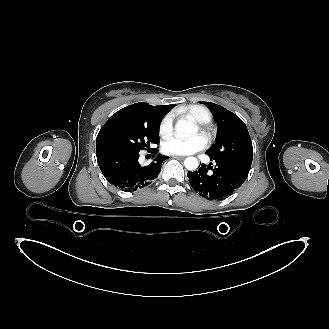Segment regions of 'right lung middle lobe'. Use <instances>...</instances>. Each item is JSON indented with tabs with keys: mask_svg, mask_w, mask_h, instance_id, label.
Instances as JSON below:
<instances>
[{
	"mask_svg": "<svg viewBox=\"0 0 329 329\" xmlns=\"http://www.w3.org/2000/svg\"><path fill=\"white\" fill-rule=\"evenodd\" d=\"M166 112L157 111L146 121L111 125L98 134L102 148L142 150L159 141V126Z\"/></svg>",
	"mask_w": 329,
	"mask_h": 329,
	"instance_id": "obj_1",
	"label": "right lung middle lobe"
}]
</instances>
